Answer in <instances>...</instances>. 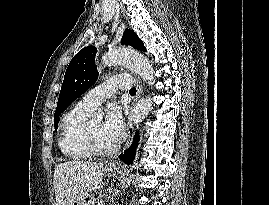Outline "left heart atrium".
Segmentation results:
<instances>
[{"label":"left heart atrium","mask_w":269,"mask_h":205,"mask_svg":"<svg viewBox=\"0 0 269 205\" xmlns=\"http://www.w3.org/2000/svg\"><path fill=\"white\" fill-rule=\"evenodd\" d=\"M124 132V120L122 107L117 103H110L107 106L106 116L102 123L104 137L113 144H116Z\"/></svg>","instance_id":"1"}]
</instances>
